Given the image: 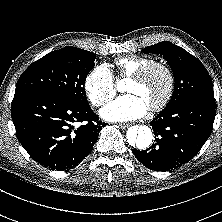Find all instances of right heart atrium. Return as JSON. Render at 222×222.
Segmentation results:
<instances>
[{
	"instance_id": "1",
	"label": "right heart atrium",
	"mask_w": 222,
	"mask_h": 222,
	"mask_svg": "<svg viewBox=\"0 0 222 222\" xmlns=\"http://www.w3.org/2000/svg\"><path fill=\"white\" fill-rule=\"evenodd\" d=\"M84 88L93 106L105 105L116 94V82L112 71L105 64L94 67L85 79Z\"/></svg>"
}]
</instances>
